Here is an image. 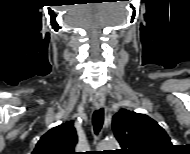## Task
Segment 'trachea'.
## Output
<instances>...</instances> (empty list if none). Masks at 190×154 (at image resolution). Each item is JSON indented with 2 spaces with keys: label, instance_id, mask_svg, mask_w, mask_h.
Masks as SVG:
<instances>
[{
  "label": "trachea",
  "instance_id": "3493384b",
  "mask_svg": "<svg viewBox=\"0 0 190 154\" xmlns=\"http://www.w3.org/2000/svg\"><path fill=\"white\" fill-rule=\"evenodd\" d=\"M103 120H104V111L102 108H100L93 113V128L95 134H98L100 132L103 125Z\"/></svg>",
  "mask_w": 190,
  "mask_h": 154
}]
</instances>
